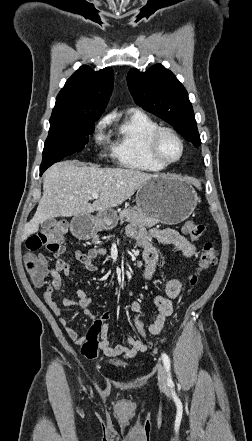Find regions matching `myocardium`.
I'll use <instances>...</instances> for the list:
<instances>
[{"mask_svg":"<svg viewBox=\"0 0 252 441\" xmlns=\"http://www.w3.org/2000/svg\"><path fill=\"white\" fill-rule=\"evenodd\" d=\"M164 135H169V136L173 137L179 143L180 148H181V152H180V155L178 158H176L174 160L167 161L160 156L159 150H158V144H159L161 137ZM148 152H149V155L151 156V158L155 162H157L159 165H161L163 167H168V166H171L173 164L178 163L183 158V156L185 154V143H184L183 139L179 136V134L177 132H175L173 129H171L169 127H158L157 129H155L151 133V135L148 138Z\"/></svg>","mask_w":252,"mask_h":441,"instance_id":"myocardium-1","label":"myocardium"}]
</instances>
